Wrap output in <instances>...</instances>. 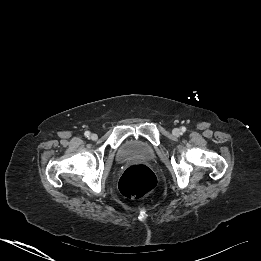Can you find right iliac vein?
<instances>
[{"mask_svg": "<svg viewBox=\"0 0 261 261\" xmlns=\"http://www.w3.org/2000/svg\"><path fill=\"white\" fill-rule=\"evenodd\" d=\"M91 140H96L98 138L97 134L93 133L90 136Z\"/></svg>", "mask_w": 261, "mask_h": 261, "instance_id": "right-iliac-vein-1", "label": "right iliac vein"}]
</instances>
